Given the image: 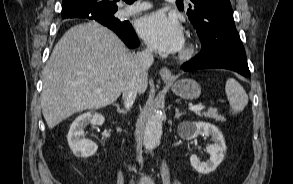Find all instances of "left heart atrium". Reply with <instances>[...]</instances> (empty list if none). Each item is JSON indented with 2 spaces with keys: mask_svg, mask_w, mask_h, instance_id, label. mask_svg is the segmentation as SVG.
Instances as JSON below:
<instances>
[{
  "mask_svg": "<svg viewBox=\"0 0 293 184\" xmlns=\"http://www.w3.org/2000/svg\"><path fill=\"white\" fill-rule=\"evenodd\" d=\"M140 36L154 49L174 53L184 45L183 29L179 22L162 12L142 17L137 23Z\"/></svg>",
  "mask_w": 293,
  "mask_h": 184,
  "instance_id": "39dd6f15",
  "label": "left heart atrium"
}]
</instances>
